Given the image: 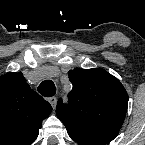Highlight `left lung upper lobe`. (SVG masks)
Here are the masks:
<instances>
[{
	"label": "left lung upper lobe",
	"mask_w": 145,
	"mask_h": 145,
	"mask_svg": "<svg viewBox=\"0 0 145 145\" xmlns=\"http://www.w3.org/2000/svg\"><path fill=\"white\" fill-rule=\"evenodd\" d=\"M73 89L69 106L60 99L56 114L66 126L118 128L125 119L128 95L120 81L104 69L68 72Z\"/></svg>",
	"instance_id": "obj_1"
}]
</instances>
